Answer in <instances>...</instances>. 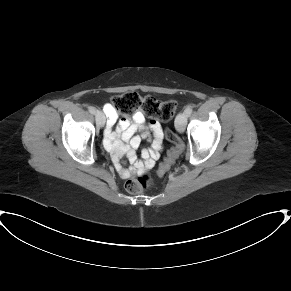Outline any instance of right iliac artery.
Wrapping results in <instances>:
<instances>
[{
	"instance_id": "1",
	"label": "right iliac artery",
	"mask_w": 291,
	"mask_h": 291,
	"mask_svg": "<svg viewBox=\"0 0 291 291\" xmlns=\"http://www.w3.org/2000/svg\"><path fill=\"white\" fill-rule=\"evenodd\" d=\"M88 110H89V112H90L91 114H95V113H96V108L93 107V106H89V107H88Z\"/></svg>"
}]
</instances>
